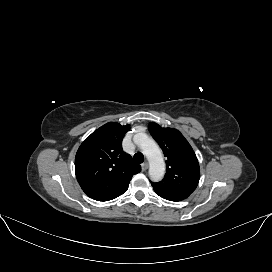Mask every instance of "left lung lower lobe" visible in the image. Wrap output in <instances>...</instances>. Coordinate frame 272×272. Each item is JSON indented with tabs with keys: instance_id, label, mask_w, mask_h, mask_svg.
Here are the masks:
<instances>
[{
	"instance_id": "0a47b994",
	"label": "left lung lower lobe",
	"mask_w": 272,
	"mask_h": 272,
	"mask_svg": "<svg viewBox=\"0 0 272 272\" xmlns=\"http://www.w3.org/2000/svg\"><path fill=\"white\" fill-rule=\"evenodd\" d=\"M157 195H159V194H157ZM159 196H161V197H162V198H164V199L170 200V201H177V200H174V199H171V198L165 197V196H163V195H159Z\"/></svg>"
}]
</instances>
